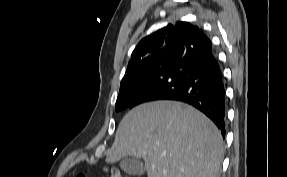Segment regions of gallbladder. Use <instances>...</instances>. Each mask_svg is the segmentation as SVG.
<instances>
[{"label":"gallbladder","mask_w":287,"mask_h":177,"mask_svg":"<svg viewBox=\"0 0 287 177\" xmlns=\"http://www.w3.org/2000/svg\"><path fill=\"white\" fill-rule=\"evenodd\" d=\"M120 168L127 174L141 176L145 173V167L140 159L125 157L120 161Z\"/></svg>","instance_id":"gallbladder-1"}]
</instances>
